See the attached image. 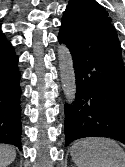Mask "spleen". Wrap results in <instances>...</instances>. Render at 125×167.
Wrapping results in <instances>:
<instances>
[{
    "mask_svg": "<svg viewBox=\"0 0 125 167\" xmlns=\"http://www.w3.org/2000/svg\"><path fill=\"white\" fill-rule=\"evenodd\" d=\"M72 160L78 167H125V153L108 138L89 137L73 142Z\"/></svg>",
    "mask_w": 125,
    "mask_h": 167,
    "instance_id": "1",
    "label": "spleen"
}]
</instances>
